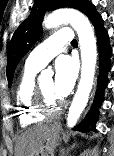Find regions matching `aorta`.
<instances>
[{"label": "aorta", "instance_id": "aorta-1", "mask_svg": "<svg viewBox=\"0 0 114 156\" xmlns=\"http://www.w3.org/2000/svg\"><path fill=\"white\" fill-rule=\"evenodd\" d=\"M65 22L70 23L78 34L82 60L80 82L67 116V126L73 127L89 99L95 75L97 50L93 28L88 18L77 10L60 9L55 11L46 17L45 27L47 29L55 28ZM46 75H51V72L43 71L41 73V77Z\"/></svg>", "mask_w": 114, "mask_h": 156}]
</instances>
